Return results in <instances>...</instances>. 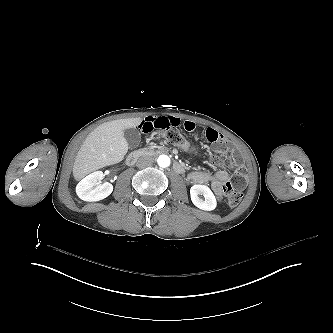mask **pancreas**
Segmentation results:
<instances>
[{
  "label": "pancreas",
  "mask_w": 333,
  "mask_h": 333,
  "mask_svg": "<svg viewBox=\"0 0 333 333\" xmlns=\"http://www.w3.org/2000/svg\"><path fill=\"white\" fill-rule=\"evenodd\" d=\"M145 151V154L156 156L158 154L168 152L169 149L163 146H160L158 149H155L153 146H148L147 148H145Z\"/></svg>",
  "instance_id": "cf45deb5"
}]
</instances>
